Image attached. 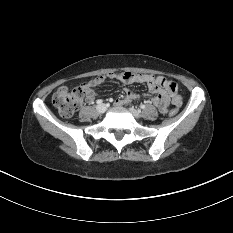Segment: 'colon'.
<instances>
[{"instance_id": "obj_1", "label": "colon", "mask_w": 233, "mask_h": 233, "mask_svg": "<svg viewBox=\"0 0 233 233\" xmlns=\"http://www.w3.org/2000/svg\"><path fill=\"white\" fill-rule=\"evenodd\" d=\"M86 96V87L79 86L73 89L66 87L59 88L53 95L52 102L57 108L61 117L68 119L82 105L83 99ZM178 112V108L171 109L170 115L174 116Z\"/></svg>"}]
</instances>
